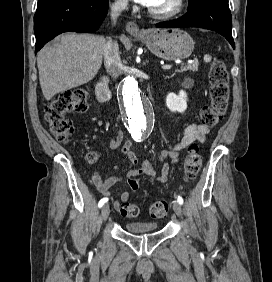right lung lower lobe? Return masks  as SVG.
I'll use <instances>...</instances> for the list:
<instances>
[{
	"label": "right lung lower lobe",
	"mask_w": 272,
	"mask_h": 282,
	"mask_svg": "<svg viewBox=\"0 0 272 282\" xmlns=\"http://www.w3.org/2000/svg\"><path fill=\"white\" fill-rule=\"evenodd\" d=\"M108 12V0H39L34 16L36 52L63 32L96 31Z\"/></svg>",
	"instance_id": "right-lung-lower-lobe-1"
}]
</instances>
